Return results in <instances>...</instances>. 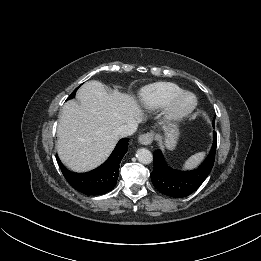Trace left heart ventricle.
I'll return each mask as SVG.
<instances>
[{
	"label": "left heart ventricle",
	"instance_id": "left-heart-ventricle-1",
	"mask_svg": "<svg viewBox=\"0 0 261 261\" xmlns=\"http://www.w3.org/2000/svg\"><path fill=\"white\" fill-rule=\"evenodd\" d=\"M192 99L190 97L186 98L182 102V106H187L191 103Z\"/></svg>",
	"mask_w": 261,
	"mask_h": 261
}]
</instances>
